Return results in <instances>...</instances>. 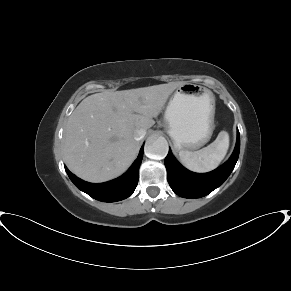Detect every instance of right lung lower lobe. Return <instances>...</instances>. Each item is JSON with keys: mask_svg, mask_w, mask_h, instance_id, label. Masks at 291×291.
<instances>
[{"mask_svg": "<svg viewBox=\"0 0 291 291\" xmlns=\"http://www.w3.org/2000/svg\"><path fill=\"white\" fill-rule=\"evenodd\" d=\"M143 152L144 146L141 147L137 159L125 174L105 183H88L73 175L66 167L65 170L75 186L92 198L103 202H116L129 197L134 192L138 183V171Z\"/></svg>", "mask_w": 291, "mask_h": 291, "instance_id": "right-lung-lower-lobe-1", "label": "right lung lower lobe"}]
</instances>
